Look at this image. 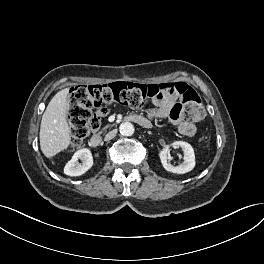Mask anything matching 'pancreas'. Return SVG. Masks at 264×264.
<instances>
[{
	"mask_svg": "<svg viewBox=\"0 0 264 264\" xmlns=\"http://www.w3.org/2000/svg\"><path fill=\"white\" fill-rule=\"evenodd\" d=\"M110 125L108 124V125H106L105 127H104V129H106V128H108Z\"/></svg>",
	"mask_w": 264,
	"mask_h": 264,
	"instance_id": "obj_1",
	"label": "pancreas"
}]
</instances>
